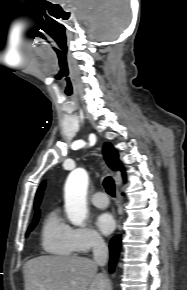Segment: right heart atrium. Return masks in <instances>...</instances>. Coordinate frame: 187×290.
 Listing matches in <instances>:
<instances>
[{
	"label": "right heart atrium",
	"instance_id": "1",
	"mask_svg": "<svg viewBox=\"0 0 187 290\" xmlns=\"http://www.w3.org/2000/svg\"><path fill=\"white\" fill-rule=\"evenodd\" d=\"M72 242L75 252L82 254L104 245L103 238L95 230L88 227L73 228Z\"/></svg>",
	"mask_w": 187,
	"mask_h": 290
}]
</instances>
